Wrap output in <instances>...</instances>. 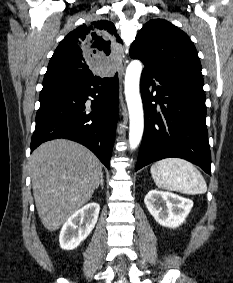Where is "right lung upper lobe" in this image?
I'll list each match as a JSON object with an SVG mask.
<instances>
[{
    "mask_svg": "<svg viewBox=\"0 0 233 283\" xmlns=\"http://www.w3.org/2000/svg\"><path fill=\"white\" fill-rule=\"evenodd\" d=\"M114 43L123 42L110 21L98 20L79 26L56 48L43 82L87 79L96 76L92 70H113L114 60L107 59H118L119 44Z\"/></svg>",
    "mask_w": 233,
    "mask_h": 283,
    "instance_id": "right-lung-upper-lobe-1",
    "label": "right lung upper lobe"
}]
</instances>
